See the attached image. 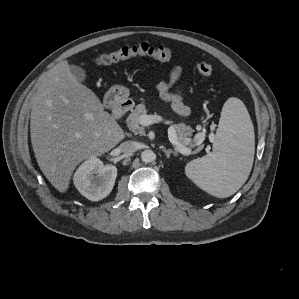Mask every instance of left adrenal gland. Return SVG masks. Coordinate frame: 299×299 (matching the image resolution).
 <instances>
[{
  "label": "left adrenal gland",
  "instance_id": "a2214340",
  "mask_svg": "<svg viewBox=\"0 0 299 299\" xmlns=\"http://www.w3.org/2000/svg\"><path fill=\"white\" fill-rule=\"evenodd\" d=\"M163 152L166 154V157L167 158H170V155L171 154H173L174 156H177V153L176 152H174L173 150H171V149H166V148H164L163 149Z\"/></svg>",
  "mask_w": 299,
  "mask_h": 299
}]
</instances>
